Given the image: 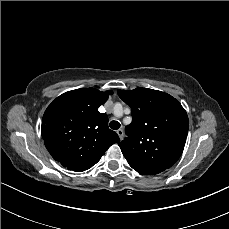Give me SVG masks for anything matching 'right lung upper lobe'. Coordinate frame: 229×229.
<instances>
[{
	"label": "right lung upper lobe",
	"mask_w": 229,
	"mask_h": 229,
	"mask_svg": "<svg viewBox=\"0 0 229 229\" xmlns=\"http://www.w3.org/2000/svg\"><path fill=\"white\" fill-rule=\"evenodd\" d=\"M111 94L81 88L60 95L48 106L42 118V137L62 166L76 172L87 170L120 141L108 128L107 115L98 111Z\"/></svg>",
	"instance_id": "cb5924a9"
}]
</instances>
